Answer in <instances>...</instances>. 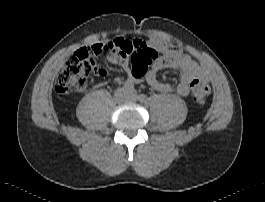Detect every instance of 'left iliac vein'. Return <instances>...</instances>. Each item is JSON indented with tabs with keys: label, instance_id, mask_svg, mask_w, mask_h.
I'll list each match as a JSON object with an SVG mask.
<instances>
[{
	"label": "left iliac vein",
	"instance_id": "obj_1",
	"mask_svg": "<svg viewBox=\"0 0 265 202\" xmlns=\"http://www.w3.org/2000/svg\"><path fill=\"white\" fill-rule=\"evenodd\" d=\"M130 97H131V99H137V95L135 94V93H130Z\"/></svg>",
	"mask_w": 265,
	"mask_h": 202
}]
</instances>
